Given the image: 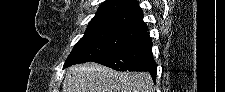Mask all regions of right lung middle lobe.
I'll use <instances>...</instances> for the list:
<instances>
[{
  "label": "right lung middle lobe",
  "instance_id": "1",
  "mask_svg": "<svg viewBox=\"0 0 225 92\" xmlns=\"http://www.w3.org/2000/svg\"><path fill=\"white\" fill-rule=\"evenodd\" d=\"M144 34L142 30L123 24H90L84 36L73 47L63 68L89 62L104 53L137 40Z\"/></svg>",
  "mask_w": 225,
  "mask_h": 92
}]
</instances>
